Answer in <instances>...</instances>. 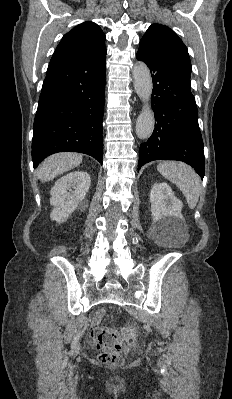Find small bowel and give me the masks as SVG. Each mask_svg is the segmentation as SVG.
<instances>
[{
  "mask_svg": "<svg viewBox=\"0 0 232 399\" xmlns=\"http://www.w3.org/2000/svg\"><path fill=\"white\" fill-rule=\"evenodd\" d=\"M104 317H105V309L101 308L95 313L93 317V324H85L84 327H92L98 325Z\"/></svg>",
  "mask_w": 232,
  "mask_h": 399,
  "instance_id": "obj_1",
  "label": "small bowel"
}]
</instances>
